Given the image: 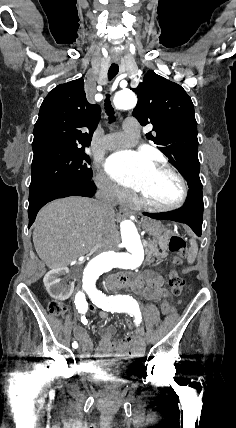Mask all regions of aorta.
<instances>
[{
  "label": "aorta",
  "mask_w": 236,
  "mask_h": 428,
  "mask_svg": "<svg viewBox=\"0 0 236 428\" xmlns=\"http://www.w3.org/2000/svg\"><path fill=\"white\" fill-rule=\"evenodd\" d=\"M113 102L116 109L127 110L136 106L137 98L132 91L123 90L115 94ZM120 231L122 245L126 251H105L91 259L81 277L83 293L97 292L96 283L103 273L116 267L136 269L143 263L145 249L135 224L131 220H124L120 225Z\"/></svg>",
  "instance_id": "obj_1"
}]
</instances>
